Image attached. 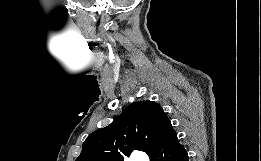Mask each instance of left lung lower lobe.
Listing matches in <instances>:
<instances>
[{"label": "left lung lower lobe", "mask_w": 261, "mask_h": 161, "mask_svg": "<svg viewBox=\"0 0 261 161\" xmlns=\"http://www.w3.org/2000/svg\"><path fill=\"white\" fill-rule=\"evenodd\" d=\"M148 156L150 161H188V154L184 146L179 144L175 131Z\"/></svg>", "instance_id": "obj_1"}]
</instances>
